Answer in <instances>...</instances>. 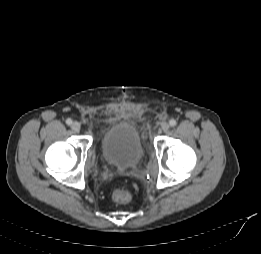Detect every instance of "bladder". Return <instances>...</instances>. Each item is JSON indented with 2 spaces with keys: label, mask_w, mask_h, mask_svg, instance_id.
Returning a JSON list of instances; mask_svg holds the SVG:
<instances>
[{
  "label": "bladder",
  "mask_w": 261,
  "mask_h": 254,
  "mask_svg": "<svg viewBox=\"0 0 261 254\" xmlns=\"http://www.w3.org/2000/svg\"><path fill=\"white\" fill-rule=\"evenodd\" d=\"M101 149L105 161L122 170L136 166L144 154L138 129L127 122L107 129L101 138Z\"/></svg>",
  "instance_id": "obj_1"
}]
</instances>
